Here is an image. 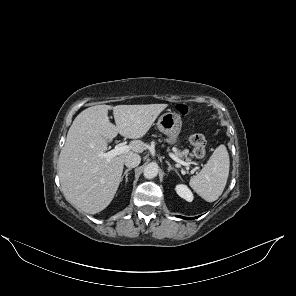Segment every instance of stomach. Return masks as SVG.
<instances>
[{"label": "stomach", "mask_w": 296, "mask_h": 296, "mask_svg": "<svg viewBox=\"0 0 296 296\" xmlns=\"http://www.w3.org/2000/svg\"><path fill=\"white\" fill-rule=\"evenodd\" d=\"M157 127L168 137L167 142L175 145L178 142V136L182 128L181 116L175 112H166L158 119Z\"/></svg>", "instance_id": "stomach-1"}]
</instances>
